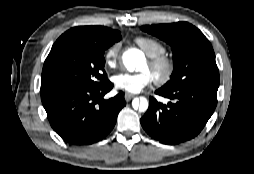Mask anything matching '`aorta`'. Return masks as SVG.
Listing matches in <instances>:
<instances>
[{"mask_svg":"<svg viewBox=\"0 0 254 174\" xmlns=\"http://www.w3.org/2000/svg\"><path fill=\"white\" fill-rule=\"evenodd\" d=\"M143 57L142 52L137 49L127 50L122 56L123 64L128 71L132 72L143 61ZM132 106L136 110L139 109V111L145 112L148 108V101L145 97L135 98L132 101Z\"/></svg>","mask_w":254,"mask_h":174,"instance_id":"obj_1","label":"aorta"}]
</instances>
